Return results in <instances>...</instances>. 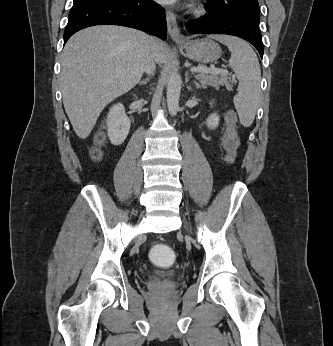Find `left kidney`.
<instances>
[{
    "label": "left kidney",
    "instance_id": "1",
    "mask_svg": "<svg viewBox=\"0 0 333 346\" xmlns=\"http://www.w3.org/2000/svg\"><path fill=\"white\" fill-rule=\"evenodd\" d=\"M219 116L216 113L209 115L207 118V127L208 128H216L219 124Z\"/></svg>",
    "mask_w": 333,
    "mask_h": 346
}]
</instances>
